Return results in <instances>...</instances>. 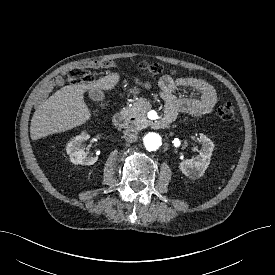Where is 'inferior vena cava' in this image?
<instances>
[{
	"mask_svg": "<svg viewBox=\"0 0 275 275\" xmlns=\"http://www.w3.org/2000/svg\"><path fill=\"white\" fill-rule=\"evenodd\" d=\"M137 137H138V129L137 127H127L126 130L124 131V139L127 141V142H134L137 140Z\"/></svg>",
	"mask_w": 275,
	"mask_h": 275,
	"instance_id": "inferior-vena-cava-1",
	"label": "inferior vena cava"
}]
</instances>
